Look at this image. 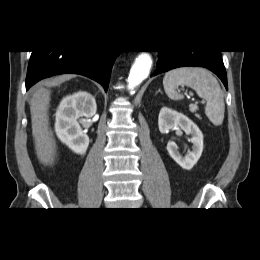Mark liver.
I'll use <instances>...</instances> for the list:
<instances>
[{
	"label": "liver",
	"mask_w": 260,
	"mask_h": 260,
	"mask_svg": "<svg viewBox=\"0 0 260 260\" xmlns=\"http://www.w3.org/2000/svg\"><path fill=\"white\" fill-rule=\"evenodd\" d=\"M73 77L74 75H61L46 82L45 85L46 87L60 85ZM49 104L50 91L44 87L38 88L31 97L30 111L36 154L44 165L52 164L56 154V143L49 127Z\"/></svg>",
	"instance_id": "1"
}]
</instances>
